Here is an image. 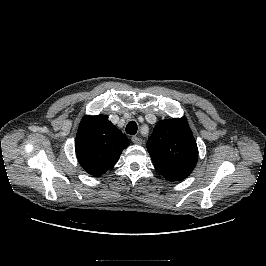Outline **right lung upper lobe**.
I'll use <instances>...</instances> for the list:
<instances>
[{"instance_id": "1", "label": "right lung upper lobe", "mask_w": 266, "mask_h": 266, "mask_svg": "<svg viewBox=\"0 0 266 266\" xmlns=\"http://www.w3.org/2000/svg\"><path fill=\"white\" fill-rule=\"evenodd\" d=\"M128 145V138L106 115L85 116L76 134L75 151L87 173L101 176L116 164Z\"/></svg>"}]
</instances>
